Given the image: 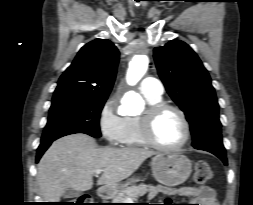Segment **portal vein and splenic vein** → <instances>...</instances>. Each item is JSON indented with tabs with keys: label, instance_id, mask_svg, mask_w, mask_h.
I'll return each instance as SVG.
<instances>
[{
	"label": "portal vein and splenic vein",
	"instance_id": "portal-vein-and-splenic-vein-1",
	"mask_svg": "<svg viewBox=\"0 0 253 205\" xmlns=\"http://www.w3.org/2000/svg\"><path fill=\"white\" fill-rule=\"evenodd\" d=\"M102 172H103V170H101V169L100 170H96L95 174H101Z\"/></svg>",
	"mask_w": 253,
	"mask_h": 205
}]
</instances>
